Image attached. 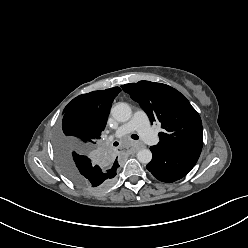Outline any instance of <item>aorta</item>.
<instances>
[{"mask_svg": "<svg viewBox=\"0 0 248 248\" xmlns=\"http://www.w3.org/2000/svg\"><path fill=\"white\" fill-rule=\"evenodd\" d=\"M112 116L119 122H126L131 118L132 111L127 103H117L111 109ZM137 159L142 164H147L152 159V153L149 149H141L137 153Z\"/></svg>", "mask_w": 248, "mask_h": 248, "instance_id": "aorta-1", "label": "aorta"}]
</instances>
